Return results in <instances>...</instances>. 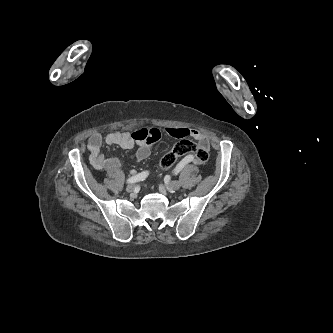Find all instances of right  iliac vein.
Listing matches in <instances>:
<instances>
[{
    "label": "right iliac vein",
    "instance_id": "1",
    "mask_svg": "<svg viewBox=\"0 0 333 333\" xmlns=\"http://www.w3.org/2000/svg\"><path fill=\"white\" fill-rule=\"evenodd\" d=\"M126 191H127L128 193H133V192L135 191V185H133V184L128 185V186L126 187Z\"/></svg>",
    "mask_w": 333,
    "mask_h": 333
}]
</instances>
